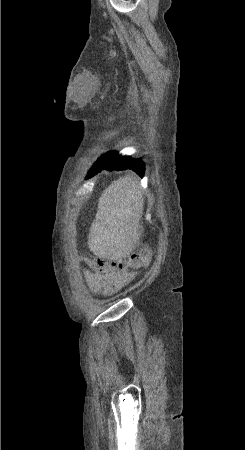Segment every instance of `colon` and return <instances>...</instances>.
I'll return each mask as SVG.
<instances>
[{
	"mask_svg": "<svg viewBox=\"0 0 245 450\" xmlns=\"http://www.w3.org/2000/svg\"><path fill=\"white\" fill-rule=\"evenodd\" d=\"M151 252L147 248H140L134 251L127 259H115L108 263L105 259L95 257L87 260L93 273L101 275L109 270L117 273H123L127 268H142L150 260Z\"/></svg>",
	"mask_w": 245,
	"mask_h": 450,
	"instance_id": "obj_1",
	"label": "colon"
}]
</instances>
